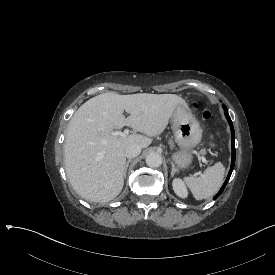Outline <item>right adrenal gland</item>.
I'll return each instance as SVG.
<instances>
[{
	"label": "right adrenal gland",
	"mask_w": 275,
	"mask_h": 275,
	"mask_svg": "<svg viewBox=\"0 0 275 275\" xmlns=\"http://www.w3.org/2000/svg\"><path fill=\"white\" fill-rule=\"evenodd\" d=\"M131 161H132L131 159H129V160L126 161L125 170H124V178L126 177L127 169H128L129 163Z\"/></svg>",
	"instance_id": "obj_1"
}]
</instances>
